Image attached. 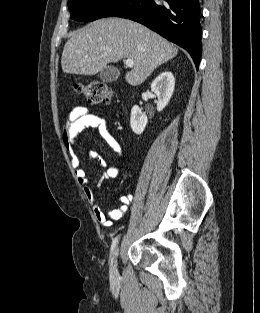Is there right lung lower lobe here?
Returning a JSON list of instances; mask_svg holds the SVG:
<instances>
[{
  "label": "right lung lower lobe",
  "mask_w": 260,
  "mask_h": 313,
  "mask_svg": "<svg viewBox=\"0 0 260 313\" xmlns=\"http://www.w3.org/2000/svg\"><path fill=\"white\" fill-rule=\"evenodd\" d=\"M199 0H122L103 17L139 22L186 49L198 69L202 46Z\"/></svg>",
  "instance_id": "obj_1"
}]
</instances>
